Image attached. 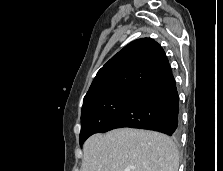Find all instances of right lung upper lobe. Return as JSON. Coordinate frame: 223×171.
<instances>
[{"label":"right lung upper lobe","instance_id":"cb5924a9","mask_svg":"<svg viewBox=\"0 0 223 171\" xmlns=\"http://www.w3.org/2000/svg\"><path fill=\"white\" fill-rule=\"evenodd\" d=\"M170 72L168 59L161 46L150 38L137 39L98 71L83 105L114 93L139 94Z\"/></svg>","mask_w":223,"mask_h":171}]
</instances>
